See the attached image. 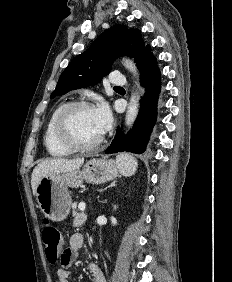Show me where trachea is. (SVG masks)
Here are the masks:
<instances>
[{
  "instance_id": "trachea-1",
  "label": "trachea",
  "mask_w": 232,
  "mask_h": 282,
  "mask_svg": "<svg viewBox=\"0 0 232 282\" xmlns=\"http://www.w3.org/2000/svg\"><path fill=\"white\" fill-rule=\"evenodd\" d=\"M115 88H121V87H119V86H116Z\"/></svg>"
}]
</instances>
